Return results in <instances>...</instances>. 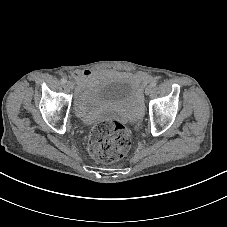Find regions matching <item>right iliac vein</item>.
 <instances>
[{"instance_id":"obj_1","label":"right iliac vein","mask_w":227,"mask_h":227,"mask_svg":"<svg viewBox=\"0 0 227 227\" xmlns=\"http://www.w3.org/2000/svg\"><path fill=\"white\" fill-rule=\"evenodd\" d=\"M66 88L72 90L74 88V84L71 81H69L66 83Z\"/></svg>"}]
</instances>
